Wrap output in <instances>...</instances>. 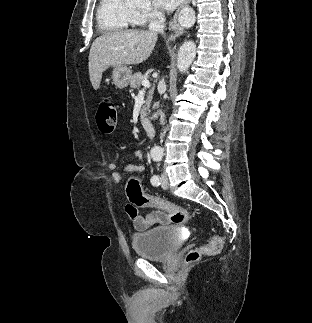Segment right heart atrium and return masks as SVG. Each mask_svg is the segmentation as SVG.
<instances>
[{"label": "right heart atrium", "mask_w": 312, "mask_h": 323, "mask_svg": "<svg viewBox=\"0 0 312 323\" xmlns=\"http://www.w3.org/2000/svg\"><path fill=\"white\" fill-rule=\"evenodd\" d=\"M149 17H166V10H149Z\"/></svg>", "instance_id": "1"}]
</instances>
